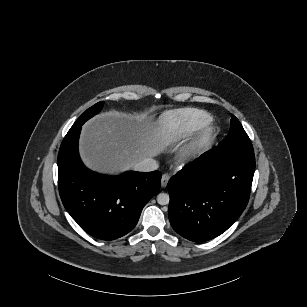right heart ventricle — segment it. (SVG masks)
Wrapping results in <instances>:
<instances>
[{"instance_id": "right-heart-ventricle-1", "label": "right heart ventricle", "mask_w": 307, "mask_h": 307, "mask_svg": "<svg viewBox=\"0 0 307 307\" xmlns=\"http://www.w3.org/2000/svg\"><path fill=\"white\" fill-rule=\"evenodd\" d=\"M213 117L204 111L195 109H178L167 111L159 118V141L162 147L180 143L208 127Z\"/></svg>"}]
</instances>
